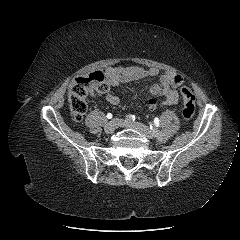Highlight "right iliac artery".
I'll return each instance as SVG.
<instances>
[{"mask_svg": "<svg viewBox=\"0 0 240 240\" xmlns=\"http://www.w3.org/2000/svg\"><path fill=\"white\" fill-rule=\"evenodd\" d=\"M125 121H126V122H133V121H135V116L132 115V114H128V115H126V117H125Z\"/></svg>", "mask_w": 240, "mask_h": 240, "instance_id": "right-iliac-artery-1", "label": "right iliac artery"}]
</instances>
